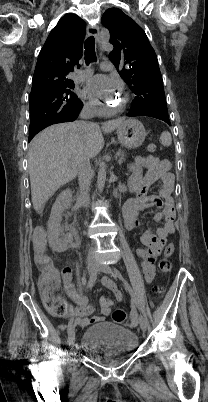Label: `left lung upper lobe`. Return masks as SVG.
<instances>
[{
	"mask_svg": "<svg viewBox=\"0 0 208 402\" xmlns=\"http://www.w3.org/2000/svg\"><path fill=\"white\" fill-rule=\"evenodd\" d=\"M102 24L114 45L110 61L116 68L123 66L119 74L136 94L131 111L168 118L157 56L143 29L118 8L106 10Z\"/></svg>",
	"mask_w": 208,
	"mask_h": 402,
	"instance_id": "left-lung-upper-lobe-1",
	"label": "left lung upper lobe"
}]
</instances>
